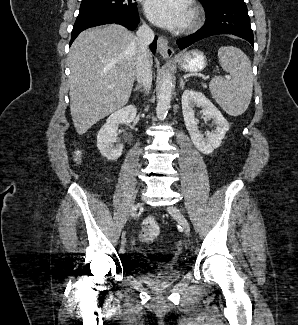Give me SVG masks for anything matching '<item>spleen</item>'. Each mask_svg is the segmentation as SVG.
Wrapping results in <instances>:
<instances>
[{
  "mask_svg": "<svg viewBox=\"0 0 298 325\" xmlns=\"http://www.w3.org/2000/svg\"><path fill=\"white\" fill-rule=\"evenodd\" d=\"M218 58L223 70L231 74V80L214 76L209 82V90L212 98H215L227 114L239 116L247 110L252 98L251 62L247 54L237 46H220Z\"/></svg>",
  "mask_w": 298,
  "mask_h": 325,
  "instance_id": "1",
  "label": "spleen"
}]
</instances>
